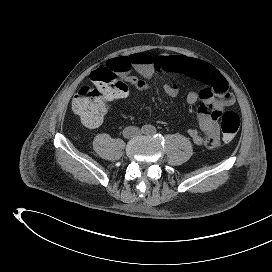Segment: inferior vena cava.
I'll use <instances>...</instances> for the list:
<instances>
[{"label":"inferior vena cava","instance_id":"inferior-vena-cava-1","mask_svg":"<svg viewBox=\"0 0 272 272\" xmlns=\"http://www.w3.org/2000/svg\"><path fill=\"white\" fill-rule=\"evenodd\" d=\"M139 133H140V129L135 126H128L123 130V136L125 138L137 136Z\"/></svg>","mask_w":272,"mask_h":272}]
</instances>
